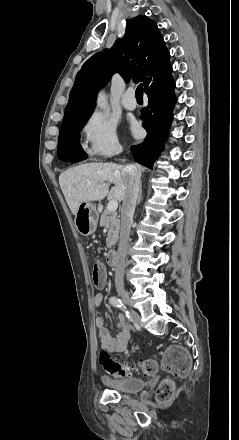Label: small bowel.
Segmentation results:
<instances>
[{
    "label": "small bowel",
    "mask_w": 239,
    "mask_h": 440,
    "mask_svg": "<svg viewBox=\"0 0 239 440\" xmlns=\"http://www.w3.org/2000/svg\"><path fill=\"white\" fill-rule=\"evenodd\" d=\"M103 300L102 292L98 291L94 294V303L96 306H100ZM97 334L101 347L108 352H121L126 349L129 342V325L127 319L123 314H119L117 317V325L119 332L113 336L106 327L102 317H97L95 320Z\"/></svg>",
    "instance_id": "small-bowel-1"
}]
</instances>
